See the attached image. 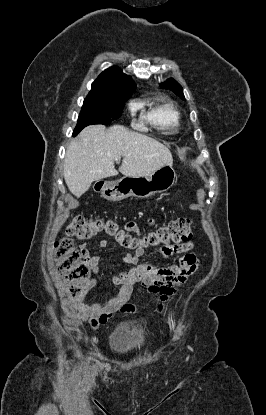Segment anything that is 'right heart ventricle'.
<instances>
[{
	"label": "right heart ventricle",
	"mask_w": 266,
	"mask_h": 415,
	"mask_svg": "<svg viewBox=\"0 0 266 415\" xmlns=\"http://www.w3.org/2000/svg\"><path fill=\"white\" fill-rule=\"evenodd\" d=\"M179 118L178 110L171 103L165 101L150 107L144 116L147 123L167 132L177 128Z\"/></svg>",
	"instance_id": "obj_1"
}]
</instances>
